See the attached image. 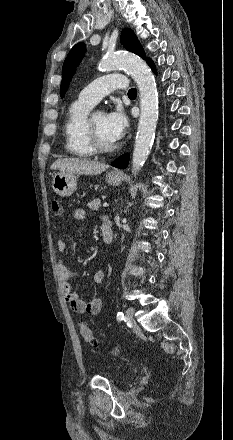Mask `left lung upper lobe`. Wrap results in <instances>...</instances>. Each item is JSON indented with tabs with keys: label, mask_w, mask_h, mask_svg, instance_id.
Masks as SVG:
<instances>
[{
	"label": "left lung upper lobe",
	"mask_w": 233,
	"mask_h": 440,
	"mask_svg": "<svg viewBox=\"0 0 233 440\" xmlns=\"http://www.w3.org/2000/svg\"><path fill=\"white\" fill-rule=\"evenodd\" d=\"M121 43L128 50L131 51L143 59H148L145 56V52L138 41L137 37L133 33V31L129 28H126L121 33ZM86 51V47L84 43L76 44L69 54L67 55L63 68H62V83L60 87L61 97H64L65 92L69 86V82L71 81L73 74L75 72L76 67L81 62Z\"/></svg>",
	"instance_id": "obj_1"
}]
</instances>
